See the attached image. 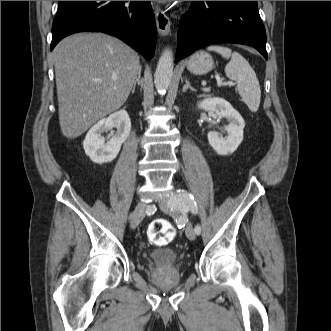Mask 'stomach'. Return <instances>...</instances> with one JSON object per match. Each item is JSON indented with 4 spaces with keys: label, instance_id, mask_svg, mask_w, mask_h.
<instances>
[{
    "label": "stomach",
    "instance_id": "0dacf381",
    "mask_svg": "<svg viewBox=\"0 0 331 331\" xmlns=\"http://www.w3.org/2000/svg\"><path fill=\"white\" fill-rule=\"evenodd\" d=\"M214 61L212 56L203 51L199 50L195 52L187 62V69L196 75H203L213 69Z\"/></svg>",
    "mask_w": 331,
    "mask_h": 331
}]
</instances>
